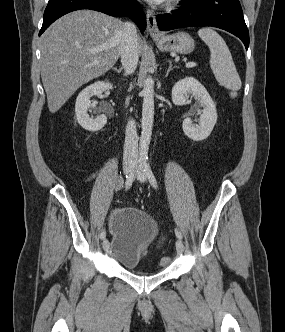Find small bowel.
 <instances>
[{
	"instance_id": "1",
	"label": "small bowel",
	"mask_w": 285,
	"mask_h": 332,
	"mask_svg": "<svg viewBox=\"0 0 285 332\" xmlns=\"http://www.w3.org/2000/svg\"><path fill=\"white\" fill-rule=\"evenodd\" d=\"M94 177H95V175L92 174V175L86 177L85 181H86V182H89V181H91ZM121 185H122V179L117 178V180H116V188L119 189V188L121 187Z\"/></svg>"
}]
</instances>
